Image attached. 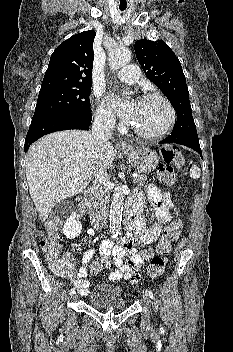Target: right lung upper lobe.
Wrapping results in <instances>:
<instances>
[{
  "label": "right lung upper lobe",
  "instance_id": "obj_1",
  "mask_svg": "<svg viewBox=\"0 0 233 352\" xmlns=\"http://www.w3.org/2000/svg\"><path fill=\"white\" fill-rule=\"evenodd\" d=\"M95 35L84 31L61 43L51 55L41 87L91 85Z\"/></svg>",
  "mask_w": 233,
  "mask_h": 352
}]
</instances>
